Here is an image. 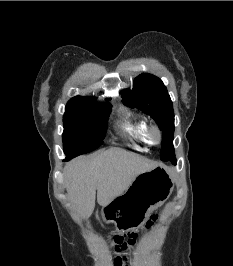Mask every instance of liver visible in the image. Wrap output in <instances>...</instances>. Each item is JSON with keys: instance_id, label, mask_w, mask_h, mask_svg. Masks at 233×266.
Listing matches in <instances>:
<instances>
[{"instance_id": "1", "label": "liver", "mask_w": 233, "mask_h": 266, "mask_svg": "<svg viewBox=\"0 0 233 266\" xmlns=\"http://www.w3.org/2000/svg\"><path fill=\"white\" fill-rule=\"evenodd\" d=\"M157 162L121 148H111L80 156L64 168V181L69 200L83 218L89 217L98 203L106 207L122 195L135 178L155 168Z\"/></svg>"}]
</instances>
